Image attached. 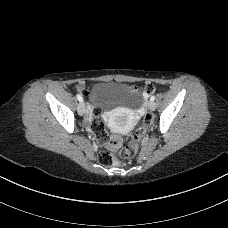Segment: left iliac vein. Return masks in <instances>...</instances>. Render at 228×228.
<instances>
[{"mask_svg": "<svg viewBox=\"0 0 228 228\" xmlns=\"http://www.w3.org/2000/svg\"><path fill=\"white\" fill-rule=\"evenodd\" d=\"M148 108H149L151 111H154L155 108H156L155 102L150 100L149 103H148Z\"/></svg>", "mask_w": 228, "mask_h": 228, "instance_id": "obj_1", "label": "left iliac vein"}]
</instances>
